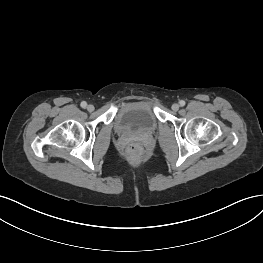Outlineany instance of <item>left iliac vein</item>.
I'll return each instance as SVG.
<instances>
[{
  "label": "left iliac vein",
  "instance_id": "4c4485c4",
  "mask_svg": "<svg viewBox=\"0 0 263 263\" xmlns=\"http://www.w3.org/2000/svg\"><path fill=\"white\" fill-rule=\"evenodd\" d=\"M179 104H177V103H174L173 105H172V110L173 111H178L179 110Z\"/></svg>",
  "mask_w": 263,
  "mask_h": 263
}]
</instances>
